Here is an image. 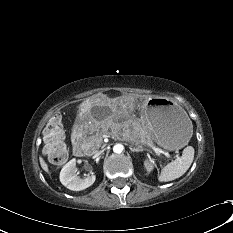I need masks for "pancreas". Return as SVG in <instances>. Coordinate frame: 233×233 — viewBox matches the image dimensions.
Here are the masks:
<instances>
[{
  "instance_id": "obj_1",
  "label": "pancreas",
  "mask_w": 233,
  "mask_h": 233,
  "mask_svg": "<svg viewBox=\"0 0 233 233\" xmlns=\"http://www.w3.org/2000/svg\"><path fill=\"white\" fill-rule=\"evenodd\" d=\"M85 129L89 133V136L84 141L91 151H96L103 146L104 135H112L118 139L140 146H153V136L148 126L139 120H134L132 128L124 135L120 133V126L112 120L94 122L87 125Z\"/></svg>"
}]
</instances>
